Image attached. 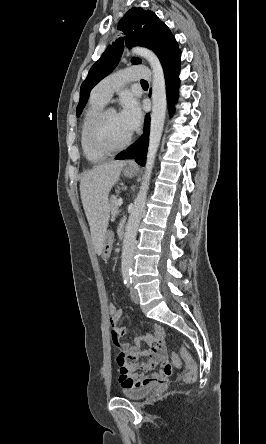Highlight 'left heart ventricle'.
Masks as SVG:
<instances>
[{"instance_id": "obj_1", "label": "left heart ventricle", "mask_w": 266, "mask_h": 444, "mask_svg": "<svg viewBox=\"0 0 266 444\" xmlns=\"http://www.w3.org/2000/svg\"><path fill=\"white\" fill-rule=\"evenodd\" d=\"M131 132L122 121L119 113H109L100 124L96 139L98 143L106 146L122 144Z\"/></svg>"}]
</instances>
